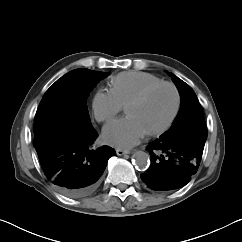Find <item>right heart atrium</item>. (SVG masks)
<instances>
[{"instance_id": "right-heart-atrium-1", "label": "right heart atrium", "mask_w": 242, "mask_h": 242, "mask_svg": "<svg viewBox=\"0 0 242 242\" xmlns=\"http://www.w3.org/2000/svg\"><path fill=\"white\" fill-rule=\"evenodd\" d=\"M123 109L122 102L112 89H99L92 100V111L99 122H106L115 117Z\"/></svg>"}]
</instances>
